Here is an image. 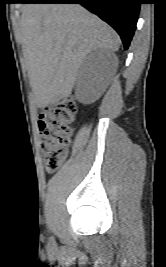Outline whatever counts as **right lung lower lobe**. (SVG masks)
<instances>
[{"label":"right lung lower lobe","instance_id":"1","mask_svg":"<svg viewBox=\"0 0 166 267\" xmlns=\"http://www.w3.org/2000/svg\"><path fill=\"white\" fill-rule=\"evenodd\" d=\"M21 3H79L111 25L127 49L136 28L141 0H21Z\"/></svg>","mask_w":166,"mask_h":267}]
</instances>
